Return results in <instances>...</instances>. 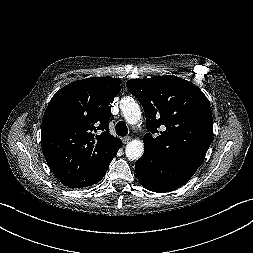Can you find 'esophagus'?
<instances>
[{
	"label": "esophagus",
	"mask_w": 253,
	"mask_h": 253,
	"mask_svg": "<svg viewBox=\"0 0 253 253\" xmlns=\"http://www.w3.org/2000/svg\"><path fill=\"white\" fill-rule=\"evenodd\" d=\"M122 141L124 144H128L131 141V137L129 136L123 137Z\"/></svg>",
	"instance_id": "esophagus-1"
}]
</instances>
